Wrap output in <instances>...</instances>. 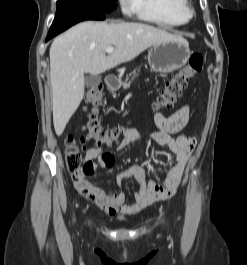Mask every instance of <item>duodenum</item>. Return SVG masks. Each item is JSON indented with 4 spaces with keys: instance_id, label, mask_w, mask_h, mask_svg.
I'll use <instances>...</instances> for the list:
<instances>
[{
    "instance_id": "410a0bca",
    "label": "duodenum",
    "mask_w": 247,
    "mask_h": 265,
    "mask_svg": "<svg viewBox=\"0 0 247 265\" xmlns=\"http://www.w3.org/2000/svg\"><path fill=\"white\" fill-rule=\"evenodd\" d=\"M105 84L108 89H114L118 84V79L114 75H107L105 77Z\"/></svg>"
}]
</instances>
